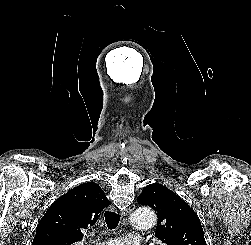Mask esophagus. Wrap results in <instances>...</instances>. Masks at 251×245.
Segmentation results:
<instances>
[{
	"label": "esophagus",
	"instance_id": "1",
	"mask_svg": "<svg viewBox=\"0 0 251 245\" xmlns=\"http://www.w3.org/2000/svg\"><path fill=\"white\" fill-rule=\"evenodd\" d=\"M135 207L134 205H130L122 214H123V220H126L127 217L130 216V214L134 211Z\"/></svg>",
	"mask_w": 251,
	"mask_h": 245
}]
</instances>
